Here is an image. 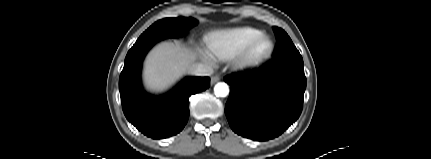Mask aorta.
<instances>
[{
	"label": "aorta",
	"mask_w": 431,
	"mask_h": 159,
	"mask_svg": "<svg viewBox=\"0 0 431 159\" xmlns=\"http://www.w3.org/2000/svg\"><path fill=\"white\" fill-rule=\"evenodd\" d=\"M214 93L218 97H226L229 94V87L224 82H219L214 87Z\"/></svg>",
	"instance_id": "obj_1"
}]
</instances>
